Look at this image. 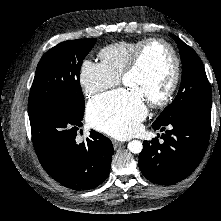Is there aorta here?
Listing matches in <instances>:
<instances>
[{"mask_svg":"<svg viewBox=\"0 0 221 221\" xmlns=\"http://www.w3.org/2000/svg\"><path fill=\"white\" fill-rule=\"evenodd\" d=\"M128 150L134 154H139L143 149V144L139 140H132L127 145Z\"/></svg>","mask_w":221,"mask_h":221,"instance_id":"obj_1","label":"aorta"}]
</instances>
